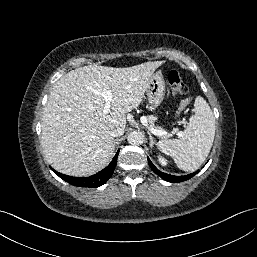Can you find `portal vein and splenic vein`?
Wrapping results in <instances>:
<instances>
[{
  "label": "portal vein and splenic vein",
  "instance_id": "obj_1",
  "mask_svg": "<svg viewBox=\"0 0 257 257\" xmlns=\"http://www.w3.org/2000/svg\"><path fill=\"white\" fill-rule=\"evenodd\" d=\"M98 94L101 95L103 97L104 101H105V105H104V108H103V113L108 114L110 112L111 101H112V98H113L112 92H111V90H106V91L98 92ZM141 121L145 126H147V119L145 117H142ZM148 129L154 135H157V136H169L170 135L164 130H159V129H156V128H153V127H150V126L148 127Z\"/></svg>",
  "mask_w": 257,
  "mask_h": 257
}]
</instances>
